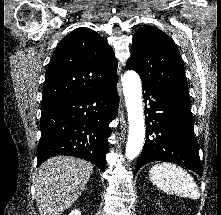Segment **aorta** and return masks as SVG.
<instances>
[{
	"label": "aorta",
	"mask_w": 221,
	"mask_h": 215,
	"mask_svg": "<svg viewBox=\"0 0 221 215\" xmlns=\"http://www.w3.org/2000/svg\"><path fill=\"white\" fill-rule=\"evenodd\" d=\"M122 85L129 124L125 155L132 160L141 152L145 139L142 87L139 75L132 70L125 72Z\"/></svg>",
	"instance_id": "aorta-1"
}]
</instances>
